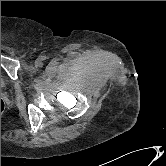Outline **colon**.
Instances as JSON below:
<instances>
[{
	"mask_svg": "<svg viewBox=\"0 0 166 166\" xmlns=\"http://www.w3.org/2000/svg\"><path fill=\"white\" fill-rule=\"evenodd\" d=\"M5 104L4 101L1 99V114L4 112Z\"/></svg>",
	"mask_w": 166,
	"mask_h": 166,
	"instance_id": "1",
	"label": "colon"
}]
</instances>
